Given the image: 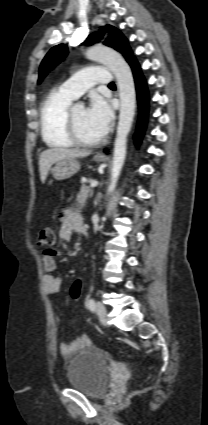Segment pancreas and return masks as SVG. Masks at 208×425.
<instances>
[{"mask_svg": "<svg viewBox=\"0 0 208 425\" xmlns=\"http://www.w3.org/2000/svg\"><path fill=\"white\" fill-rule=\"evenodd\" d=\"M91 182H92V179H88V180H85V181L82 180L81 181L82 186H81L80 191H79V193L77 195V203L78 204L83 205L86 202L87 198L93 194V192L90 189V187L87 186V184L88 183H91Z\"/></svg>", "mask_w": 208, "mask_h": 425, "instance_id": "1", "label": "pancreas"}]
</instances>
